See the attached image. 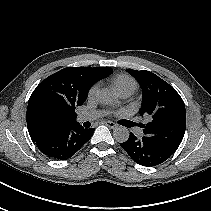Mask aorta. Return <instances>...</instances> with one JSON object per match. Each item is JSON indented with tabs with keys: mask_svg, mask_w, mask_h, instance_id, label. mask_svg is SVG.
I'll list each match as a JSON object with an SVG mask.
<instances>
[{
	"mask_svg": "<svg viewBox=\"0 0 211 211\" xmlns=\"http://www.w3.org/2000/svg\"><path fill=\"white\" fill-rule=\"evenodd\" d=\"M116 95L112 91L105 89L100 91L98 95V100L100 103L108 105L116 101ZM113 137L117 142L123 143L129 138V130L126 127L119 126L114 129Z\"/></svg>",
	"mask_w": 211,
	"mask_h": 211,
	"instance_id": "obj_1",
	"label": "aorta"
}]
</instances>
